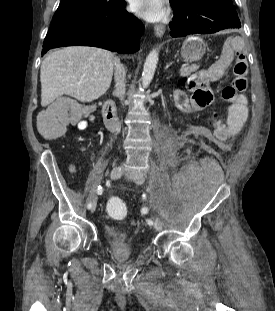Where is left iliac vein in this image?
<instances>
[{
	"instance_id": "1",
	"label": "left iliac vein",
	"mask_w": 275,
	"mask_h": 311,
	"mask_svg": "<svg viewBox=\"0 0 275 311\" xmlns=\"http://www.w3.org/2000/svg\"><path fill=\"white\" fill-rule=\"evenodd\" d=\"M135 179H136V183L139 185L143 184V182H144L142 176H136ZM153 225H154V228L156 230H158V231L162 230L163 226H162V222L159 218H157V217L153 218Z\"/></svg>"
}]
</instances>
